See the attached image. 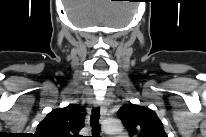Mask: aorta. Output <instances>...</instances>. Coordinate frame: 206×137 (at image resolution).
I'll use <instances>...</instances> for the list:
<instances>
[{
    "label": "aorta",
    "mask_w": 206,
    "mask_h": 137,
    "mask_svg": "<svg viewBox=\"0 0 206 137\" xmlns=\"http://www.w3.org/2000/svg\"><path fill=\"white\" fill-rule=\"evenodd\" d=\"M105 131L108 134H121L123 127L120 121L108 122L105 125Z\"/></svg>",
    "instance_id": "aorta-1"
}]
</instances>
